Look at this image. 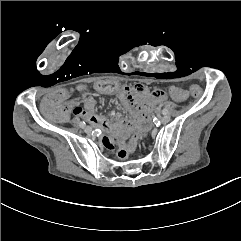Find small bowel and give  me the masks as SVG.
<instances>
[{
	"instance_id": "obj_1",
	"label": "small bowel",
	"mask_w": 241,
	"mask_h": 241,
	"mask_svg": "<svg viewBox=\"0 0 241 241\" xmlns=\"http://www.w3.org/2000/svg\"><path fill=\"white\" fill-rule=\"evenodd\" d=\"M118 86L119 91L116 95L121 99L124 107L129 111L130 117L128 119L112 123L106 117L92 113L95 101L90 96L82 99L84 108L79 107L78 102L69 98L62 110L55 111L50 105L51 101L64 95L66 93L64 88H61L46 97L43 111L48 118L56 115L59 117L57 120L62 122L64 119L67 120L69 118L66 114L72 107L75 115L81 116L93 127L103 131L101 142L104 147L110 151L117 149V156L119 160L124 162L127 160L128 156L136 150L139 141L148 135L151 128V122L138 121L131 108L138 106L136 114L141 119L148 118L151 114V109L145 103L140 102L139 96L142 97L146 93L145 85L138 83L132 89L120 84H118ZM167 99V94L159 89H155L148 94V101L151 104H158L159 102L164 103ZM79 109H82L83 112L77 114L76 111Z\"/></svg>"
}]
</instances>
